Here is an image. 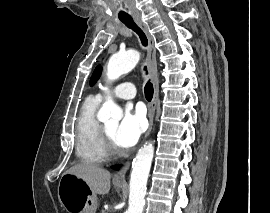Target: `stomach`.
I'll list each match as a JSON object with an SVG mask.
<instances>
[{
  "label": "stomach",
  "instance_id": "1",
  "mask_svg": "<svg viewBox=\"0 0 270 213\" xmlns=\"http://www.w3.org/2000/svg\"><path fill=\"white\" fill-rule=\"evenodd\" d=\"M122 187L121 184H116ZM58 197L68 213H96L98 201L88 184L73 174H63L58 185Z\"/></svg>",
  "mask_w": 270,
  "mask_h": 213
}]
</instances>
